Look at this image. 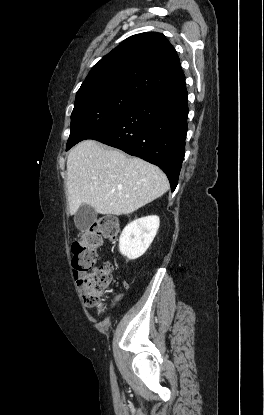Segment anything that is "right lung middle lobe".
<instances>
[{"label":"right lung middle lobe","mask_w":264,"mask_h":415,"mask_svg":"<svg viewBox=\"0 0 264 415\" xmlns=\"http://www.w3.org/2000/svg\"><path fill=\"white\" fill-rule=\"evenodd\" d=\"M141 99L136 94L122 91L76 98L66 150L118 118Z\"/></svg>","instance_id":"dd1d6c3e"}]
</instances>
